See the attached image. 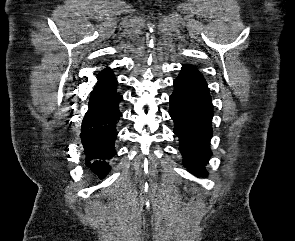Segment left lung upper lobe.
<instances>
[{"instance_id": "obj_1", "label": "left lung upper lobe", "mask_w": 295, "mask_h": 241, "mask_svg": "<svg viewBox=\"0 0 295 241\" xmlns=\"http://www.w3.org/2000/svg\"><path fill=\"white\" fill-rule=\"evenodd\" d=\"M180 75H184L189 78L193 83L198 84L201 88L208 90L204 77L199 71L192 65H184Z\"/></svg>"}]
</instances>
